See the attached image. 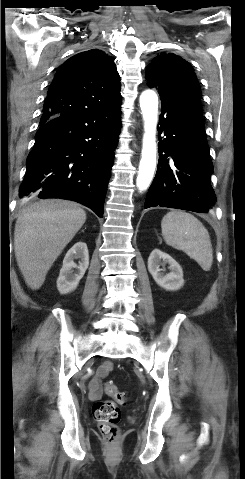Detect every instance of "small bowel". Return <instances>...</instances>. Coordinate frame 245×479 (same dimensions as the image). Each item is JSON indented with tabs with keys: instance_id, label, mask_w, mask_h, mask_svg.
I'll use <instances>...</instances> for the list:
<instances>
[{
	"instance_id": "1",
	"label": "small bowel",
	"mask_w": 245,
	"mask_h": 479,
	"mask_svg": "<svg viewBox=\"0 0 245 479\" xmlns=\"http://www.w3.org/2000/svg\"><path fill=\"white\" fill-rule=\"evenodd\" d=\"M113 368L111 361H106L102 366L97 369L96 375L90 381L89 384V397L92 400H98L103 394L102 380L106 377L109 371Z\"/></svg>"
}]
</instances>
